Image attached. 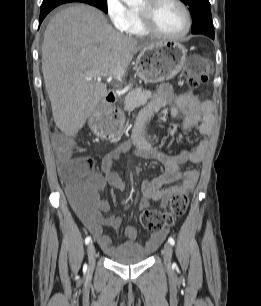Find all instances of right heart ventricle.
<instances>
[{
	"mask_svg": "<svg viewBox=\"0 0 261 306\" xmlns=\"http://www.w3.org/2000/svg\"><path fill=\"white\" fill-rule=\"evenodd\" d=\"M130 10V21L126 33L136 37H147L150 33L145 29L136 8Z\"/></svg>",
	"mask_w": 261,
	"mask_h": 306,
	"instance_id": "obj_1",
	"label": "right heart ventricle"
}]
</instances>
